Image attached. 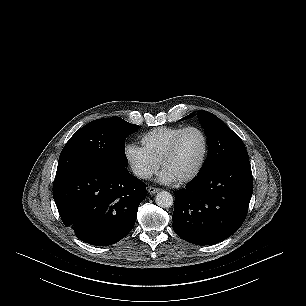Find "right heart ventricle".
Returning a JSON list of instances; mask_svg holds the SVG:
<instances>
[{
    "label": "right heart ventricle",
    "instance_id": "1",
    "mask_svg": "<svg viewBox=\"0 0 306 306\" xmlns=\"http://www.w3.org/2000/svg\"><path fill=\"white\" fill-rule=\"evenodd\" d=\"M183 128L182 126L154 128L141 136V144L156 161L160 162L173 139Z\"/></svg>",
    "mask_w": 306,
    "mask_h": 306
}]
</instances>
